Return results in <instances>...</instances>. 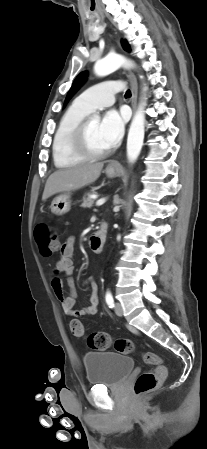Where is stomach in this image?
<instances>
[{"label": "stomach", "mask_w": 207, "mask_h": 449, "mask_svg": "<svg viewBox=\"0 0 207 449\" xmlns=\"http://www.w3.org/2000/svg\"><path fill=\"white\" fill-rule=\"evenodd\" d=\"M120 169L119 168H110L107 167L105 173L108 177L113 178L118 175ZM71 196L70 193H63L57 197H55L51 203V212L55 215L61 216L69 212L71 208Z\"/></svg>", "instance_id": "stomach-1"}]
</instances>
